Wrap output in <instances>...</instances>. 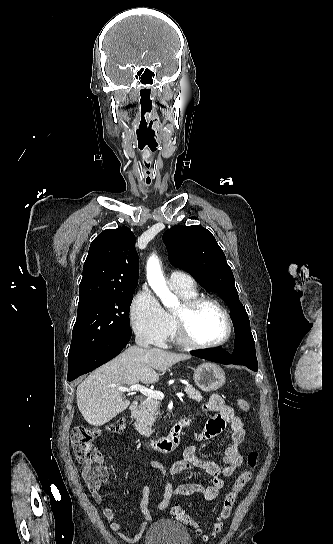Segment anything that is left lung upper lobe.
Instances as JSON below:
<instances>
[{"instance_id":"1","label":"left lung upper lobe","mask_w":333,"mask_h":544,"mask_svg":"<svg viewBox=\"0 0 333 544\" xmlns=\"http://www.w3.org/2000/svg\"><path fill=\"white\" fill-rule=\"evenodd\" d=\"M163 241L172 265L189 271L207 290L216 291L230 306L233 321L249 322L225 254L210 231L198 225L174 226L165 231Z\"/></svg>"}]
</instances>
